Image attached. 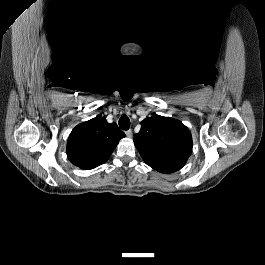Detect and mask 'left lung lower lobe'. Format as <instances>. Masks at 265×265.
Masks as SVG:
<instances>
[{
  "label": "left lung lower lobe",
  "mask_w": 265,
  "mask_h": 265,
  "mask_svg": "<svg viewBox=\"0 0 265 265\" xmlns=\"http://www.w3.org/2000/svg\"><path fill=\"white\" fill-rule=\"evenodd\" d=\"M184 165H173V166H170V167H167L159 172L161 173H173V172H176L178 170H180Z\"/></svg>",
  "instance_id": "obj_1"
}]
</instances>
